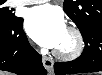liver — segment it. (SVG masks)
<instances>
[{"label": "liver", "mask_w": 102, "mask_h": 75, "mask_svg": "<svg viewBox=\"0 0 102 75\" xmlns=\"http://www.w3.org/2000/svg\"><path fill=\"white\" fill-rule=\"evenodd\" d=\"M1 75H8V74H4V73L2 72Z\"/></svg>", "instance_id": "1"}]
</instances>
